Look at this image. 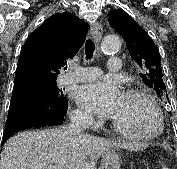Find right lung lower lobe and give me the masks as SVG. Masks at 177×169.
Instances as JSON below:
<instances>
[{"label":"right lung lower lobe","instance_id":"obj_1","mask_svg":"<svg viewBox=\"0 0 177 169\" xmlns=\"http://www.w3.org/2000/svg\"><path fill=\"white\" fill-rule=\"evenodd\" d=\"M44 81L31 76L15 77L2 144L17 131L63 123L67 98L56 104L38 93L36 87Z\"/></svg>","mask_w":177,"mask_h":169}]
</instances>
